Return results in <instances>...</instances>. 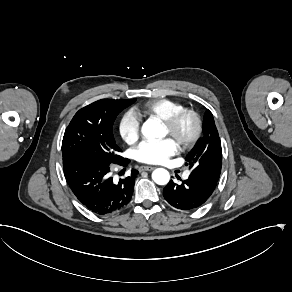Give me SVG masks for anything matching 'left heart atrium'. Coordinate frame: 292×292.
Here are the masks:
<instances>
[{
  "label": "left heart atrium",
  "mask_w": 292,
  "mask_h": 292,
  "mask_svg": "<svg viewBox=\"0 0 292 292\" xmlns=\"http://www.w3.org/2000/svg\"><path fill=\"white\" fill-rule=\"evenodd\" d=\"M178 150V143L171 138L147 140L137 148L136 158L143 163L160 164L175 155Z\"/></svg>",
  "instance_id": "obj_1"
}]
</instances>
